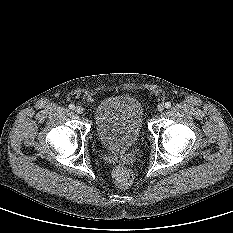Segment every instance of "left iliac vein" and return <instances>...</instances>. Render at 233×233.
Listing matches in <instances>:
<instances>
[{
    "mask_svg": "<svg viewBox=\"0 0 233 233\" xmlns=\"http://www.w3.org/2000/svg\"><path fill=\"white\" fill-rule=\"evenodd\" d=\"M164 108H165V105L163 103H159L158 106H157V110L159 112H162L164 110Z\"/></svg>",
    "mask_w": 233,
    "mask_h": 233,
    "instance_id": "left-iliac-vein-1",
    "label": "left iliac vein"
}]
</instances>
